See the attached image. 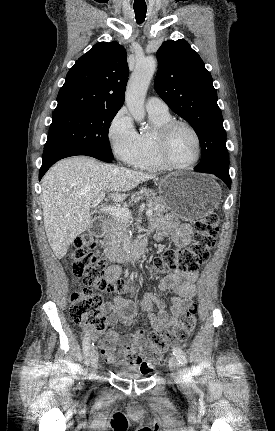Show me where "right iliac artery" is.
<instances>
[{"mask_svg":"<svg viewBox=\"0 0 275 431\" xmlns=\"http://www.w3.org/2000/svg\"><path fill=\"white\" fill-rule=\"evenodd\" d=\"M94 343H92L93 345ZM91 348V342H90V338L88 336V334H85L84 338H83V351L84 354L87 356L89 354Z\"/></svg>","mask_w":275,"mask_h":431,"instance_id":"obj_1","label":"right iliac artery"}]
</instances>
